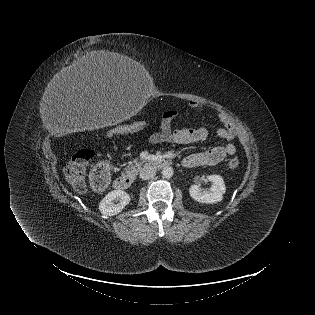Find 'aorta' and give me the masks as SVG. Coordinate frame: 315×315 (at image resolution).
<instances>
[{"label":"aorta","instance_id":"762f6f07","mask_svg":"<svg viewBox=\"0 0 315 315\" xmlns=\"http://www.w3.org/2000/svg\"><path fill=\"white\" fill-rule=\"evenodd\" d=\"M173 174H174V171L172 167L167 166V167H164L162 170V175L165 178H171Z\"/></svg>","mask_w":315,"mask_h":315}]
</instances>
